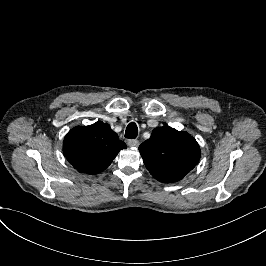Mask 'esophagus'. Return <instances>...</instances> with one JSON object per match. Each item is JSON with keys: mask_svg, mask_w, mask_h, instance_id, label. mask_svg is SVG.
<instances>
[{"mask_svg": "<svg viewBox=\"0 0 266 266\" xmlns=\"http://www.w3.org/2000/svg\"><path fill=\"white\" fill-rule=\"evenodd\" d=\"M127 144L129 147H137L139 145V141L136 139L127 140Z\"/></svg>", "mask_w": 266, "mask_h": 266, "instance_id": "esophagus-1", "label": "esophagus"}]
</instances>
